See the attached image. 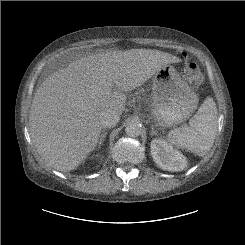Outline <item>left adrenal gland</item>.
Listing matches in <instances>:
<instances>
[{
	"label": "left adrenal gland",
	"instance_id": "obj_1",
	"mask_svg": "<svg viewBox=\"0 0 245 245\" xmlns=\"http://www.w3.org/2000/svg\"><path fill=\"white\" fill-rule=\"evenodd\" d=\"M150 135L151 136L157 135V132H156V130H155L153 125H151V133H150Z\"/></svg>",
	"mask_w": 245,
	"mask_h": 245
}]
</instances>
